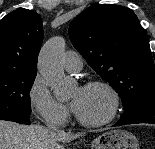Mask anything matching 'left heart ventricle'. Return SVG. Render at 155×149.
<instances>
[{
	"label": "left heart ventricle",
	"mask_w": 155,
	"mask_h": 149,
	"mask_svg": "<svg viewBox=\"0 0 155 149\" xmlns=\"http://www.w3.org/2000/svg\"><path fill=\"white\" fill-rule=\"evenodd\" d=\"M71 97L79 98V107L76 113L85 120L98 121L104 119L110 111L108 95L97 88L75 89Z\"/></svg>",
	"instance_id": "1"
}]
</instances>
